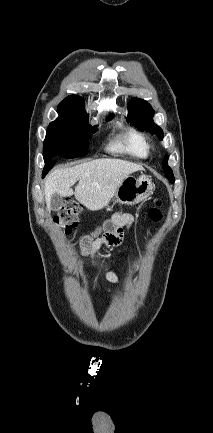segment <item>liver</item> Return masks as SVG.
Instances as JSON below:
<instances>
[{
    "label": "liver",
    "mask_w": 213,
    "mask_h": 433,
    "mask_svg": "<svg viewBox=\"0 0 213 433\" xmlns=\"http://www.w3.org/2000/svg\"><path fill=\"white\" fill-rule=\"evenodd\" d=\"M141 165L121 159H96L71 168L56 169L45 180L44 192L48 210L54 193L61 197L71 194L88 209L109 203L117 187L130 174L141 171ZM75 191L72 186L77 182Z\"/></svg>",
    "instance_id": "liver-1"
}]
</instances>
